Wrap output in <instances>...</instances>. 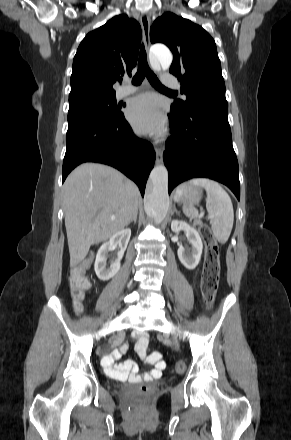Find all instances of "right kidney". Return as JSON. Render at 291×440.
<instances>
[{
	"label": "right kidney",
	"instance_id": "1",
	"mask_svg": "<svg viewBox=\"0 0 291 440\" xmlns=\"http://www.w3.org/2000/svg\"><path fill=\"white\" fill-rule=\"evenodd\" d=\"M131 236V229H123L116 234H114L109 241L103 243L99 248L96 260L94 264V269L97 277L100 280L106 281L116 275L120 269V262L124 255V251L128 245ZM120 247V251L117 254V258L111 261L110 265H107V255L116 246Z\"/></svg>",
	"mask_w": 291,
	"mask_h": 440
}]
</instances>
